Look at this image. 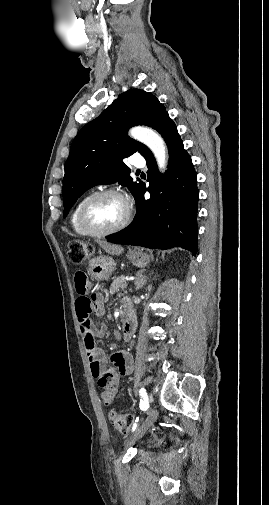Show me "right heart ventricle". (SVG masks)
Wrapping results in <instances>:
<instances>
[{
  "mask_svg": "<svg viewBox=\"0 0 269 505\" xmlns=\"http://www.w3.org/2000/svg\"><path fill=\"white\" fill-rule=\"evenodd\" d=\"M89 196H85L83 197L81 200H79L77 202V204L74 206L71 214H70V225H71V228L72 230L79 236H83V237H86V236H90L89 233H87L83 228L82 226L80 225L79 223V219H78V214H79V210H80V207L81 205L83 204V202L88 198Z\"/></svg>",
  "mask_w": 269,
  "mask_h": 505,
  "instance_id": "obj_1",
  "label": "right heart ventricle"
}]
</instances>
